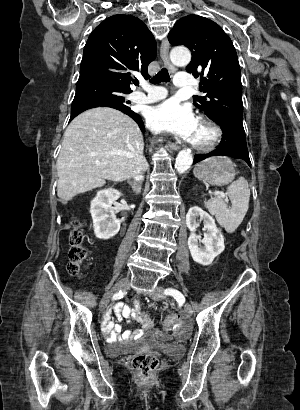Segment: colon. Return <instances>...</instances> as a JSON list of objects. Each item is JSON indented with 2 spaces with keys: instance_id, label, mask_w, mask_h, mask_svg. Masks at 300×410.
I'll return each mask as SVG.
<instances>
[{
  "instance_id": "5ec220e1",
  "label": "colon",
  "mask_w": 300,
  "mask_h": 410,
  "mask_svg": "<svg viewBox=\"0 0 300 410\" xmlns=\"http://www.w3.org/2000/svg\"><path fill=\"white\" fill-rule=\"evenodd\" d=\"M69 262L67 270L70 275L76 276L79 274L87 257L86 236L80 227L77 220L73 221V230L69 237ZM178 316L171 314L167 318V324L173 325L177 322ZM158 366V358L153 353H140L132 358V367L142 377L148 378L156 370Z\"/></svg>"
}]
</instances>
